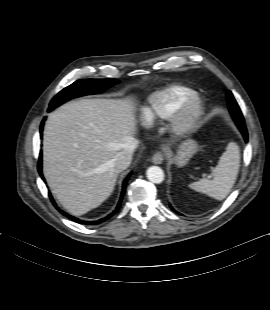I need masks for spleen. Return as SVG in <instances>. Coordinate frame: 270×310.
Listing matches in <instances>:
<instances>
[{"mask_svg":"<svg viewBox=\"0 0 270 310\" xmlns=\"http://www.w3.org/2000/svg\"><path fill=\"white\" fill-rule=\"evenodd\" d=\"M239 167V147L236 143L231 142L220 157L217 166L213 169V178L201 179L191 183L189 187L216 200H223L227 197L235 184Z\"/></svg>","mask_w":270,"mask_h":310,"instance_id":"3e777b00","label":"spleen"}]
</instances>
